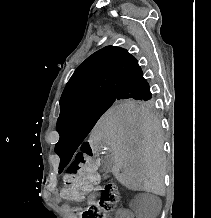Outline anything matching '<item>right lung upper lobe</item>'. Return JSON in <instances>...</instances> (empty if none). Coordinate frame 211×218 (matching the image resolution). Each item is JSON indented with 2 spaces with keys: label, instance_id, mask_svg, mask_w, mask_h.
I'll return each mask as SVG.
<instances>
[{
  "label": "right lung upper lobe",
  "instance_id": "obj_1",
  "mask_svg": "<svg viewBox=\"0 0 211 218\" xmlns=\"http://www.w3.org/2000/svg\"><path fill=\"white\" fill-rule=\"evenodd\" d=\"M140 69L137 60L127 50L104 47L75 70L62 93L60 113L89 99L120 97L122 88Z\"/></svg>",
  "mask_w": 211,
  "mask_h": 218
}]
</instances>
